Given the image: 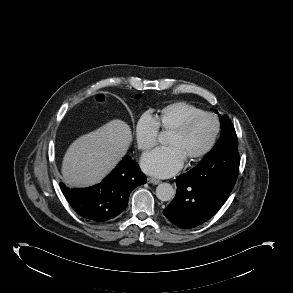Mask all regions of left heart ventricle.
Masks as SVG:
<instances>
[{"mask_svg":"<svg viewBox=\"0 0 293 293\" xmlns=\"http://www.w3.org/2000/svg\"><path fill=\"white\" fill-rule=\"evenodd\" d=\"M213 132V120L209 117H202L185 135L179 136L171 133L167 145L176 147L187 160L206 147Z\"/></svg>","mask_w":293,"mask_h":293,"instance_id":"1","label":"left heart ventricle"}]
</instances>
